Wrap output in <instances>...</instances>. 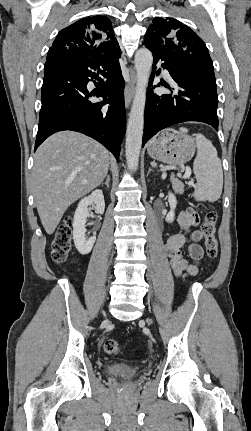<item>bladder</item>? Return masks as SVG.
I'll list each match as a JSON object with an SVG mask.
<instances>
[{
    "label": "bladder",
    "instance_id": "1",
    "mask_svg": "<svg viewBox=\"0 0 251 431\" xmlns=\"http://www.w3.org/2000/svg\"><path fill=\"white\" fill-rule=\"evenodd\" d=\"M104 373L109 376H133L136 374V370L134 367L129 366L127 364L123 363H114L111 365H108L104 369Z\"/></svg>",
    "mask_w": 251,
    "mask_h": 431
}]
</instances>
